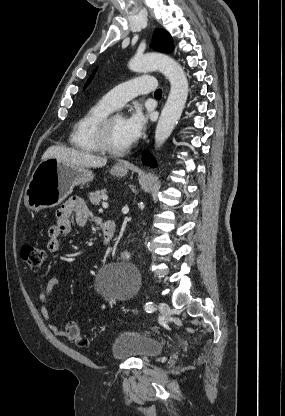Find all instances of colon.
Returning a JSON list of instances; mask_svg holds the SVG:
<instances>
[{"label": "colon", "instance_id": "colon-1", "mask_svg": "<svg viewBox=\"0 0 285 416\" xmlns=\"http://www.w3.org/2000/svg\"><path fill=\"white\" fill-rule=\"evenodd\" d=\"M20 256L27 267L33 272L39 271L46 259L44 250L33 244H24L21 247ZM65 336L70 343L78 347L87 348L89 346L88 340L74 321L67 323Z\"/></svg>", "mask_w": 285, "mask_h": 416}]
</instances>
